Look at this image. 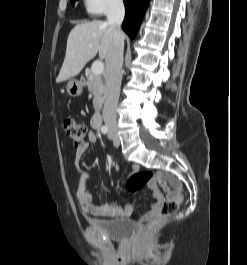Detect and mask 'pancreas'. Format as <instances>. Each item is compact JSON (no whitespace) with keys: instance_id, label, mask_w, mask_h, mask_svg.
I'll return each mask as SVG.
<instances>
[{"instance_id":"pancreas-1","label":"pancreas","mask_w":247,"mask_h":265,"mask_svg":"<svg viewBox=\"0 0 247 265\" xmlns=\"http://www.w3.org/2000/svg\"><path fill=\"white\" fill-rule=\"evenodd\" d=\"M87 87L88 91L94 96L93 107L95 112L99 113L106 93L104 78L90 71L87 78Z\"/></svg>"}]
</instances>
